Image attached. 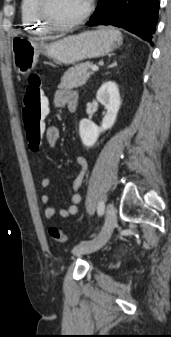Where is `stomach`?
I'll use <instances>...</instances> for the list:
<instances>
[{
	"mask_svg": "<svg viewBox=\"0 0 171 337\" xmlns=\"http://www.w3.org/2000/svg\"><path fill=\"white\" fill-rule=\"evenodd\" d=\"M121 43V33L110 27L68 36L50 44L17 37L12 40L13 64L18 73L26 75L34 69L40 54L59 63L74 64L102 57L118 48Z\"/></svg>",
	"mask_w": 171,
	"mask_h": 337,
	"instance_id": "0dacf381",
	"label": "stomach"
}]
</instances>
